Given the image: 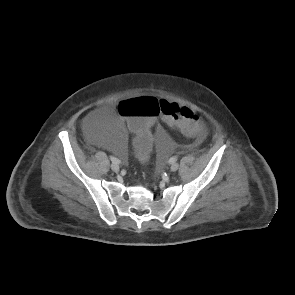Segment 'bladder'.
Wrapping results in <instances>:
<instances>
[{"label": "bladder", "mask_w": 295, "mask_h": 295, "mask_svg": "<svg viewBox=\"0 0 295 295\" xmlns=\"http://www.w3.org/2000/svg\"><path fill=\"white\" fill-rule=\"evenodd\" d=\"M117 118L110 111H99L90 114L81 125V134L89 142L102 145L113 155H122L129 148L128 137L117 127ZM152 132L157 139V148L153 168L161 173L165 170L167 158L175 149L173 139L164 127L157 124Z\"/></svg>", "instance_id": "obj_1"}]
</instances>
